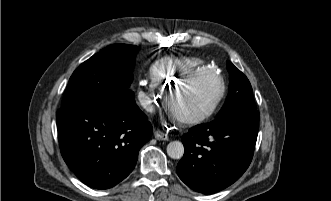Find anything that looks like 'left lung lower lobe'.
<instances>
[{"mask_svg":"<svg viewBox=\"0 0 331 201\" xmlns=\"http://www.w3.org/2000/svg\"><path fill=\"white\" fill-rule=\"evenodd\" d=\"M259 113H235L197 125L182 136L179 178L191 189L212 194L238 180L248 168L258 135Z\"/></svg>","mask_w":331,"mask_h":201,"instance_id":"obj_1","label":"left lung lower lobe"}]
</instances>
